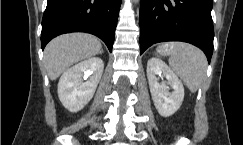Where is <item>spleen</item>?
Segmentation results:
<instances>
[{
  "label": "spleen",
  "instance_id": "3e777b00",
  "mask_svg": "<svg viewBox=\"0 0 243 145\" xmlns=\"http://www.w3.org/2000/svg\"><path fill=\"white\" fill-rule=\"evenodd\" d=\"M169 65L192 93L198 90L206 77V56L188 43L171 44Z\"/></svg>",
  "mask_w": 243,
  "mask_h": 145
}]
</instances>
